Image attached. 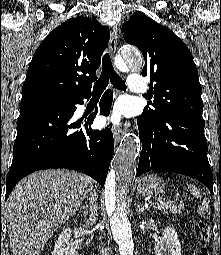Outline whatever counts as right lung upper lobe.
Masks as SVG:
<instances>
[{"instance_id":"cb5924a9","label":"right lung upper lobe","mask_w":221,"mask_h":255,"mask_svg":"<svg viewBox=\"0 0 221 255\" xmlns=\"http://www.w3.org/2000/svg\"><path fill=\"white\" fill-rule=\"evenodd\" d=\"M109 38L108 27L83 16L52 30L33 55L20 108L90 94Z\"/></svg>"}]
</instances>
